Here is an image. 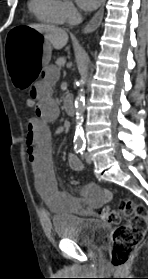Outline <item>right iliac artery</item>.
<instances>
[{"mask_svg": "<svg viewBox=\"0 0 148 279\" xmlns=\"http://www.w3.org/2000/svg\"><path fill=\"white\" fill-rule=\"evenodd\" d=\"M83 149H84V147H81V146H75V147H74V151H75L76 153L81 152Z\"/></svg>", "mask_w": 148, "mask_h": 279, "instance_id": "obj_1", "label": "right iliac artery"}]
</instances>
